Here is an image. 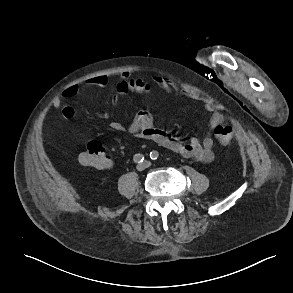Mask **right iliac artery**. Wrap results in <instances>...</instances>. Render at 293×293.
Listing matches in <instances>:
<instances>
[{"label": "right iliac artery", "instance_id": "82829eb1", "mask_svg": "<svg viewBox=\"0 0 293 293\" xmlns=\"http://www.w3.org/2000/svg\"><path fill=\"white\" fill-rule=\"evenodd\" d=\"M133 160L135 163H142L144 161V156L140 153L135 154Z\"/></svg>", "mask_w": 293, "mask_h": 293}]
</instances>
